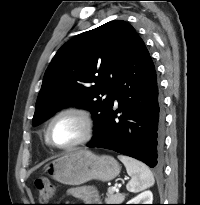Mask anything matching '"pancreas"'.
<instances>
[{
	"label": "pancreas",
	"mask_w": 200,
	"mask_h": 205,
	"mask_svg": "<svg viewBox=\"0 0 200 205\" xmlns=\"http://www.w3.org/2000/svg\"><path fill=\"white\" fill-rule=\"evenodd\" d=\"M125 199V194L123 193H116L114 194V190L112 188L108 189L107 198L105 201L107 204H120Z\"/></svg>",
	"instance_id": "obj_1"
}]
</instances>
